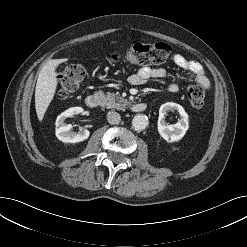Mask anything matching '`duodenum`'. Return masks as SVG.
<instances>
[{
    "label": "duodenum",
    "mask_w": 247,
    "mask_h": 247,
    "mask_svg": "<svg viewBox=\"0 0 247 247\" xmlns=\"http://www.w3.org/2000/svg\"><path fill=\"white\" fill-rule=\"evenodd\" d=\"M85 104L89 108H97L100 105V98L96 94H90L85 98ZM147 108L144 102H136L132 105L134 112H143Z\"/></svg>",
    "instance_id": "410a0bca"
}]
</instances>
